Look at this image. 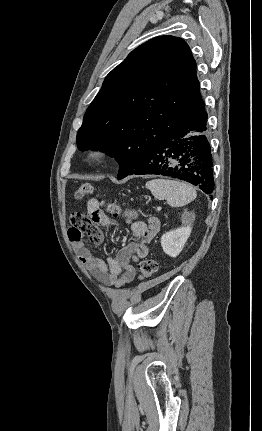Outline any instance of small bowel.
<instances>
[{
	"instance_id": "small-bowel-1",
	"label": "small bowel",
	"mask_w": 262,
	"mask_h": 431,
	"mask_svg": "<svg viewBox=\"0 0 262 431\" xmlns=\"http://www.w3.org/2000/svg\"><path fill=\"white\" fill-rule=\"evenodd\" d=\"M86 211V215L79 214L77 223L70 227L69 240L78 251L80 261L95 278L106 285L122 288L135 276V268L131 263L147 256L148 243L159 231L160 220L151 217L147 223L132 222L129 232L133 241L114 256H109L107 260H104L97 253L87 249L83 239L86 237L96 245L101 244L103 234L100 227H110L113 221L107 213L100 209L97 198H92L87 202Z\"/></svg>"
}]
</instances>
